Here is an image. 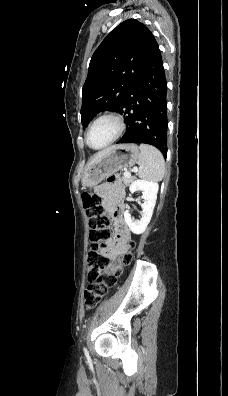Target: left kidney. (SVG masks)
Masks as SVG:
<instances>
[{
  "mask_svg": "<svg viewBox=\"0 0 228 396\" xmlns=\"http://www.w3.org/2000/svg\"><path fill=\"white\" fill-rule=\"evenodd\" d=\"M159 185L157 182L147 181V180H135L130 185V192L141 191L142 198L144 200L141 213L140 220H134L129 213V210H126L124 213L125 221L130 228V230L135 234H141L147 228L149 224L153 209L155 207L157 193H158Z\"/></svg>",
  "mask_w": 228,
  "mask_h": 396,
  "instance_id": "1",
  "label": "left kidney"
}]
</instances>
